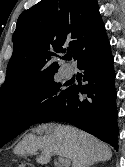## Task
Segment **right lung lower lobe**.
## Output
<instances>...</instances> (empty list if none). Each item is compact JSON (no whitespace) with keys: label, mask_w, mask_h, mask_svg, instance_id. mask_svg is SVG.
I'll list each match as a JSON object with an SVG mask.
<instances>
[{"label":"right lung lower lobe","mask_w":125,"mask_h":167,"mask_svg":"<svg viewBox=\"0 0 125 167\" xmlns=\"http://www.w3.org/2000/svg\"><path fill=\"white\" fill-rule=\"evenodd\" d=\"M78 68L86 85L69 87L60 103H54L34 122H69L118 150L115 72L105 29L80 53Z\"/></svg>","instance_id":"obj_1"}]
</instances>
